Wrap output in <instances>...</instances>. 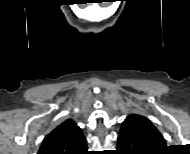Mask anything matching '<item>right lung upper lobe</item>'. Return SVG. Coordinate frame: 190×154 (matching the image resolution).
I'll return each mask as SVG.
<instances>
[{"label":"right lung upper lobe","instance_id":"obj_1","mask_svg":"<svg viewBox=\"0 0 190 154\" xmlns=\"http://www.w3.org/2000/svg\"><path fill=\"white\" fill-rule=\"evenodd\" d=\"M86 139L77 124L67 119L43 140L38 154H85Z\"/></svg>","mask_w":190,"mask_h":154}]
</instances>
